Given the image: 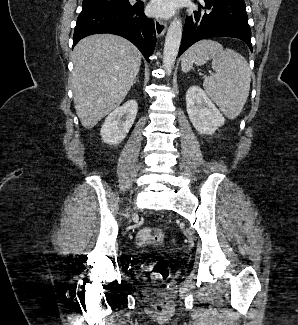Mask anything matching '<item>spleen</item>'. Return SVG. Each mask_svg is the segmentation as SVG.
<instances>
[{"instance_id":"1","label":"spleen","mask_w":298,"mask_h":325,"mask_svg":"<svg viewBox=\"0 0 298 325\" xmlns=\"http://www.w3.org/2000/svg\"><path fill=\"white\" fill-rule=\"evenodd\" d=\"M183 60V72L212 60L215 74L204 78V90L227 118H236L249 96L251 70L246 58L217 40H198L186 50Z\"/></svg>"}]
</instances>
